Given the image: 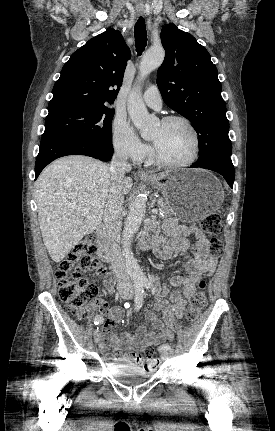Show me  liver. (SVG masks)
I'll return each mask as SVG.
<instances>
[{
	"label": "liver",
	"instance_id": "1",
	"mask_svg": "<svg viewBox=\"0 0 275 431\" xmlns=\"http://www.w3.org/2000/svg\"><path fill=\"white\" fill-rule=\"evenodd\" d=\"M132 185L130 177L114 182L105 163L83 155L63 157L46 167L36 181L35 196L42 238L52 260L61 262L98 228L114 188L124 196Z\"/></svg>",
	"mask_w": 275,
	"mask_h": 431
}]
</instances>
